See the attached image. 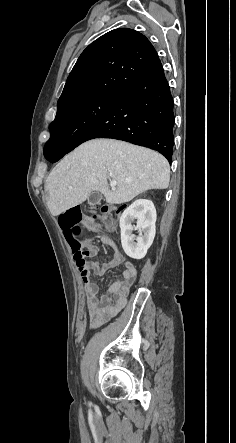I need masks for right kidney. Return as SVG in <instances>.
<instances>
[{
	"label": "right kidney",
	"instance_id": "1",
	"mask_svg": "<svg viewBox=\"0 0 236 443\" xmlns=\"http://www.w3.org/2000/svg\"><path fill=\"white\" fill-rule=\"evenodd\" d=\"M136 220V226L132 223ZM156 209L151 200L134 201L120 218L121 243L124 252L131 258H143L155 237ZM140 234L135 237L133 230ZM136 240V242L134 241Z\"/></svg>",
	"mask_w": 236,
	"mask_h": 443
}]
</instances>
